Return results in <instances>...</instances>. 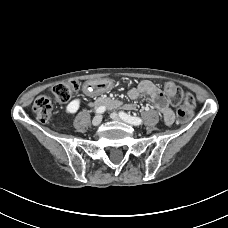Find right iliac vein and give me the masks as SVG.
<instances>
[{
  "label": "right iliac vein",
  "instance_id": "1",
  "mask_svg": "<svg viewBox=\"0 0 228 228\" xmlns=\"http://www.w3.org/2000/svg\"><path fill=\"white\" fill-rule=\"evenodd\" d=\"M102 121V116L101 115H96L93 120H92V125L98 126Z\"/></svg>",
  "mask_w": 228,
  "mask_h": 228
}]
</instances>
